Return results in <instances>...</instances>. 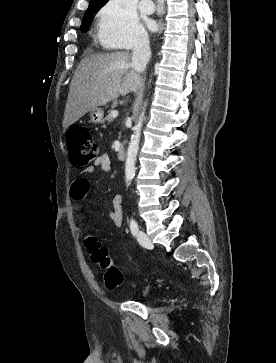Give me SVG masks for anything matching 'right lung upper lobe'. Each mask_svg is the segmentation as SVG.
I'll return each instance as SVG.
<instances>
[{
    "mask_svg": "<svg viewBox=\"0 0 276 363\" xmlns=\"http://www.w3.org/2000/svg\"><path fill=\"white\" fill-rule=\"evenodd\" d=\"M106 2H107V0H91L89 6L93 5V4H99L102 6Z\"/></svg>",
    "mask_w": 276,
    "mask_h": 363,
    "instance_id": "cb5924a9",
    "label": "right lung upper lobe"
}]
</instances>
